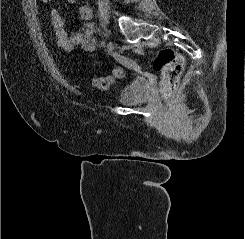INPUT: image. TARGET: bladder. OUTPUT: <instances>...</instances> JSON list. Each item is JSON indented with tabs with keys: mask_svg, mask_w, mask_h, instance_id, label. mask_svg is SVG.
Listing matches in <instances>:
<instances>
[{
	"mask_svg": "<svg viewBox=\"0 0 245 239\" xmlns=\"http://www.w3.org/2000/svg\"><path fill=\"white\" fill-rule=\"evenodd\" d=\"M150 84L133 80L119 92L118 102L120 104L137 105L149 97Z\"/></svg>",
	"mask_w": 245,
	"mask_h": 239,
	"instance_id": "31cf9c89",
	"label": "bladder"
}]
</instances>
